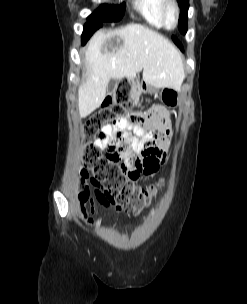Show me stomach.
Segmentation results:
<instances>
[{"label":"stomach","mask_w":247,"mask_h":304,"mask_svg":"<svg viewBox=\"0 0 247 304\" xmlns=\"http://www.w3.org/2000/svg\"><path fill=\"white\" fill-rule=\"evenodd\" d=\"M161 101L169 107L180 105L179 90L173 88H163L160 92Z\"/></svg>","instance_id":"obj_1"}]
</instances>
